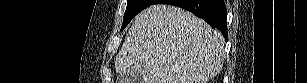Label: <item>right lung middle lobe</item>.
I'll return each mask as SVG.
<instances>
[{"label": "right lung middle lobe", "mask_w": 307, "mask_h": 83, "mask_svg": "<svg viewBox=\"0 0 307 83\" xmlns=\"http://www.w3.org/2000/svg\"><path fill=\"white\" fill-rule=\"evenodd\" d=\"M152 2L153 0H128L121 30L127 26L134 16H136L146 7L150 6Z\"/></svg>", "instance_id": "obj_1"}]
</instances>
